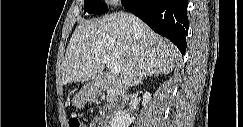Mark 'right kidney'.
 <instances>
[{"instance_id": "right-kidney-1", "label": "right kidney", "mask_w": 243, "mask_h": 127, "mask_svg": "<svg viewBox=\"0 0 243 127\" xmlns=\"http://www.w3.org/2000/svg\"><path fill=\"white\" fill-rule=\"evenodd\" d=\"M151 99V95L149 92H145L143 94V102L142 105L144 107H146V104H148V102ZM134 117H130L129 114H127V112L122 111V112H118L115 114V116L112 118L111 121V127H129V125L134 122Z\"/></svg>"}]
</instances>
